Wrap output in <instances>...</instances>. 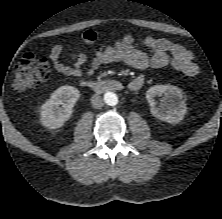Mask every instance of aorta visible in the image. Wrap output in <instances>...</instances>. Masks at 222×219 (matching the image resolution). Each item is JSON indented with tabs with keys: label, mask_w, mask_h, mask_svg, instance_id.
Segmentation results:
<instances>
[{
	"label": "aorta",
	"mask_w": 222,
	"mask_h": 219,
	"mask_svg": "<svg viewBox=\"0 0 222 219\" xmlns=\"http://www.w3.org/2000/svg\"><path fill=\"white\" fill-rule=\"evenodd\" d=\"M104 100H105L106 104H108L110 106H115L118 103V97L113 92L105 93Z\"/></svg>",
	"instance_id": "obj_1"
}]
</instances>
